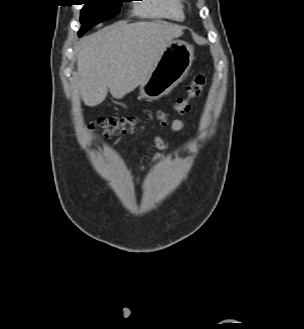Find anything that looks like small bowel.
Instances as JSON below:
<instances>
[{"mask_svg": "<svg viewBox=\"0 0 304 329\" xmlns=\"http://www.w3.org/2000/svg\"><path fill=\"white\" fill-rule=\"evenodd\" d=\"M184 127H185V121L183 119H176L171 123L170 129L172 132H179L182 129H184ZM154 143L160 151L165 149V142L161 136H156L154 138ZM160 158L161 155L159 154L155 157V161L160 160Z\"/></svg>", "mask_w": 304, "mask_h": 329, "instance_id": "small-bowel-1", "label": "small bowel"}]
</instances>
